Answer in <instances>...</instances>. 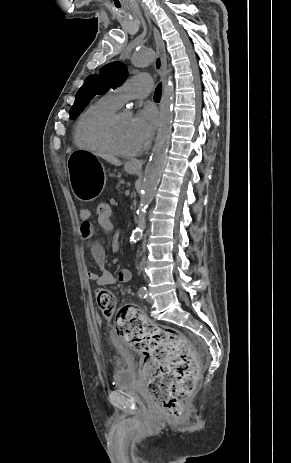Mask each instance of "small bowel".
Returning a JSON list of instances; mask_svg holds the SVG:
<instances>
[{
  "label": "small bowel",
  "instance_id": "c3829d8e",
  "mask_svg": "<svg viewBox=\"0 0 291 463\" xmlns=\"http://www.w3.org/2000/svg\"><path fill=\"white\" fill-rule=\"evenodd\" d=\"M80 216V237L83 241L90 242V253L91 256L99 268L100 272L88 271L86 273V278L94 282L99 286H110L114 285L117 281L119 283H128L131 280V272L128 269H122L118 272L117 277H115L112 272L106 269V252L104 247L97 241H93L94 228L90 221L91 219V210L88 208H82L79 212ZM105 231L110 232L113 230V223L111 226H101ZM111 248L113 250H118L121 243V233L119 231H114L112 233Z\"/></svg>",
  "mask_w": 291,
  "mask_h": 463
}]
</instances>
